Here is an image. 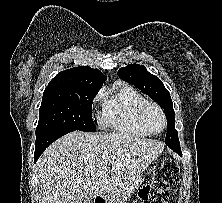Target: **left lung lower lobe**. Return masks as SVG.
<instances>
[{
	"label": "left lung lower lobe",
	"mask_w": 222,
	"mask_h": 203,
	"mask_svg": "<svg viewBox=\"0 0 222 203\" xmlns=\"http://www.w3.org/2000/svg\"><path fill=\"white\" fill-rule=\"evenodd\" d=\"M168 147L171 148L177 154L182 156L180 145H170Z\"/></svg>",
	"instance_id": "1"
}]
</instances>
